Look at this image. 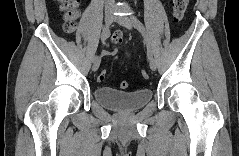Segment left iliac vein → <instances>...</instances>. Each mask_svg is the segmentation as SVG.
I'll list each match as a JSON object with an SVG mask.
<instances>
[{
	"mask_svg": "<svg viewBox=\"0 0 239 156\" xmlns=\"http://www.w3.org/2000/svg\"><path fill=\"white\" fill-rule=\"evenodd\" d=\"M115 21L129 30L133 29V27H134L132 18H130L128 16H117V17H115ZM149 65H150L151 70H153V71L156 70V62L153 58L150 60Z\"/></svg>",
	"mask_w": 239,
	"mask_h": 156,
	"instance_id": "1",
	"label": "left iliac vein"
}]
</instances>
